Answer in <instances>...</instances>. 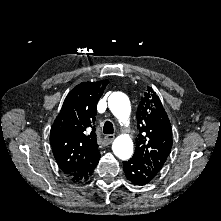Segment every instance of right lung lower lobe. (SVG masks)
I'll return each mask as SVG.
<instances>
[{"instance_id":"right-lung-lower-lobe-1","label":"right lung lower lobe","mask_w":221,"mask_h":221,"mask_svg":"<svg viewBox=\"0 0 221 221\" xmlns=\"http://www.w3.org/2000/svg\"><path fill=\"white\" fill-rule=\"evenodd\" d=\"M99 159H100V154L98 153L93 157V159L90 161L88 165H86L83 169L74 173L73 175L68 176V178L74 183H82L87 181L91 176L93 170L97 166Z\"/></svg>"}]
</instances>
